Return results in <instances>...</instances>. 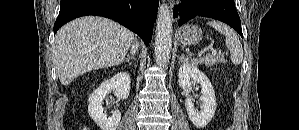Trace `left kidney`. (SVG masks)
Masks as SVG:
<instances>
[{
	"instance_id": "5707ae66",
	"label": "left kidney",
	"mask_w": 299,
	"mask_h": 130,
	"mask_svg": "<svg viewBox=\"0 0 299 130\" xmlns=\"http://www.w3.org/2000/svg\"><path fill=\"white\" fill-rule=\"evenodd\" d=\"M195 83H199L202 87V109L196 110L190 98H186L185 107L191 122L198 128H204L215 114V92L207 76L196 66L186 62L179 68V86L189 90Z\"/></svg>"
}]
</instances>
